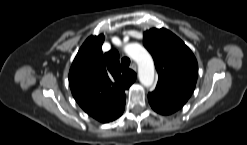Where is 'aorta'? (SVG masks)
<instances>
[{
  "label": "aorta",
  "mask_w": 247,
  "mask_h": 145,
  "mask_svg": "<svg viewBox=\"0 0 247 145\" xmlns=\"http://www.w3.org/2000/svg\"><path fill=\"white\" fill-rule=\"evenodd\" d=\"M125 51L138 64V76L141 84L150 87L154 81V63L151 55L139 44H129Z\"/></svg>",
  "instance_id": "obj_1"
}]
</instances>
